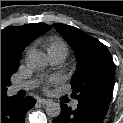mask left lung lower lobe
I'll return each instance as SVG.
<instances>
[{"mask_svg": "<svg viewBox=\"0 0 123 123\" xmlns=\"http://www.w3.org/2000/svg\"><path fill=\"white\" fill-rule=\"evenodd\" d=\"M61 113L53 120V123H102L107 111L97 107L78 103L76 110L61 103Z\"/></svg>", "mask_w": 123, "mask_h": 123, "instance_id": "left-lung-lower-lobe-1", "label": "left lung lower lobe"}]
</instances>
